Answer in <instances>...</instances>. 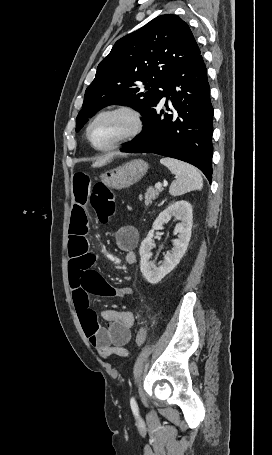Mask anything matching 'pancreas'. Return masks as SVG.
I'll return each mask as SVG.
<instances>
[{
  "instance_id": "pancreas-1",
  "label": "pancreas",
  "mask_w": 272,
  "mask_h": 455,
  "mask_svg": "<svg viewBox=\"0 0 272 455\" xmlns=\"http://www.w3.org/2000/svg\"><path fill=\"white\" fill-rule=\"evenodd\" d=\"M162 191V189H157V188H149L147 192L145 193L144 199H145V205H149L152 203L153 200L157 198L159 193ZM140 201H142L143 197L142 195L139 196Z\"/></svg>"
}]
</instances>
